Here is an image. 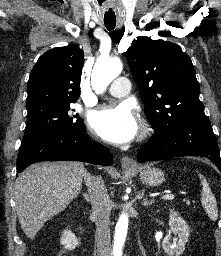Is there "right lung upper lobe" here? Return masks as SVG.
I'll list each match as a JSON object with an SVG mask.
<instances>
[{"label": "right lung upper lobe", "instance_id": "obj_1", "mask_svg": "<svg viewBox=\"0 0 221 256\" xmlns=\"http://www.w3.org/2000/svg\"><path fill=\"white\" fill-rule=\"evenodd\" d=\"M83 57V51L75 45L45 52L31 71L26 108L76 102L80 95Z\"/></svg>", "mask_w": 221, "mask_h": 256}]
</instances>
